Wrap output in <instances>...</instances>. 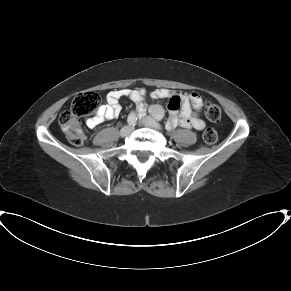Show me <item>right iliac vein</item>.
<instances>
[{
	"label": "right iliac vein",
	"mask_w": 291,
	"mask_h": 291,
	"mask_svg": "<svg viewBox=\"0 0 291 291\" xmlns=\"http://www.w3.org/2000/svg\"><path fill=\"white\" fill-rule=\"evenodd\" d=\"M132 131H133V127H132V126H124V127L120 130V135H121L122 137H126V136H128Z\"/></svg>",
	"instance_id": "right-iliac-vein-1"
}]
</instances>
